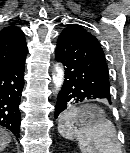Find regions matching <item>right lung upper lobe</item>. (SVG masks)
I'll use <instances>...</instances> for the list:
<instances>
[{
    "instance_id": "right-lung-upper-lobe-1",
    "label": "right lung upper lobe",
    "mask_w": 130,
    "mask_h": 153,
    "mask_svg": "<svg viewBox=\"0 0 130 153\" xmlns=\"http://www.w3.org/2000/svg\"><path fill=\"white\" fill-rule=\"evenodd\" d=\"M24 33L16 26L0 30V66L18 63L26 58Z\"/></svg>"
}]
</instances>
